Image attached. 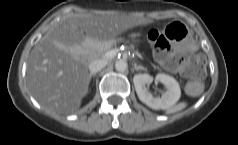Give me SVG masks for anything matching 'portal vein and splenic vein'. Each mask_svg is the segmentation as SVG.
Instances as JSON below:
<instances>
[{
	"mask_svg": "<svg viewBox=\"0 0 238 145\" xmlns=\"http://www.w3.org/2000/svg\"><path fill=\"white\" fill-rule=\"evenodd\" d=\"M117 52H118L117 49L110 50V51H108V52L105 54V56H106V58H111V57L114 56Z\"/></svg>",
	"mask_w": 238,
	"mask_h": 145,
	"instance_id": "18ae733b",
	"label": "portal vein and splenic vein"
}]
</instances>
